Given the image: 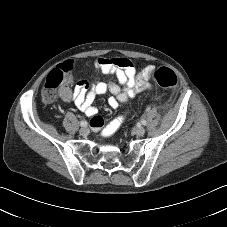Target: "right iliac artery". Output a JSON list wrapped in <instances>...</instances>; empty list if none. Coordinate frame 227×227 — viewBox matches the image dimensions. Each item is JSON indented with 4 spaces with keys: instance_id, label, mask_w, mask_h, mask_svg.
<instances>
[{
    "instance_id": "obj_1",
    "label": "right iliac artery",
    "mask_w": 227,
    "mask_h": 227,
    "mask_svg": "<svg viewBox=\"0 0 227 227\" xmlns=\"http://www.w3.org/2000/svg\"><path fill=\"white\" fill-rule=\"evenodd\" d=\"M80 125H81L82 127H86V126H87V122L84 121V120H82V121L80 122Z\"/></svg>"
}]
</instances>
